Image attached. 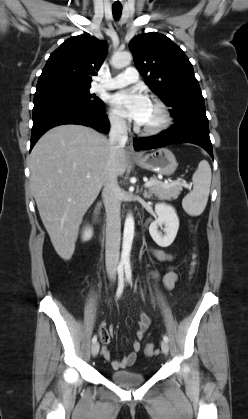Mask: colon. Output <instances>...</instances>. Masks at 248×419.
<instances>
[{
	"label": "colon",
	"instance_id": "obj_1",
	"mask_svg": "<svg viewBox=\"0 0 248 419\" xmlns=\"http://www.w3.org/2000/svg\"><path fill=\"white\" fill-rule=\"evenodd\" d=\"M196 258H197V256L195 255V258H194V260L192 262V265H191V270H190L191 275H194V273L196 271V268H197V259ZM103 334L104 333L102 332V336H103ZM155 353H156L155 346L152 343L147 344L146 347H145V354L147 356H153Z\"/></svg>",
	"mask_w": 248,
	"mask_h": 419
}]
</instances>
